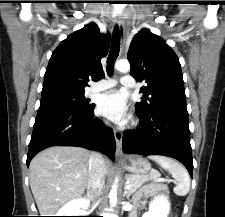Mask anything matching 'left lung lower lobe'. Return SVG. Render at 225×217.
<instances>
[{
    "label": "left lung lower lobe",
    "instance_id": "left-lung-lower-lobe-1",
    "mask_svg": "<svg viewBox=\"0 0 225 217\" xmlns=\"http://www.w3.org/2000/svg\"><path fill=\"white\" fill-rule=\"evenodd\" d=\"M136 130L123 135V151L136 154L165 155L179 160L193 172L192 149L187 108H160L150 113L138 112Z\"/></svg>",
    "mask_w": 225,
    "mask_h": 217
}]
</instances>
